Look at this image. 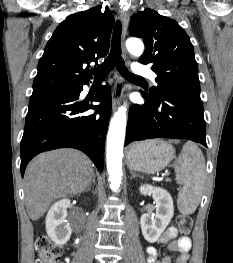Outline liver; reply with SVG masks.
<instances>
[{
  "label": "liver",
  "mask_w": 233,
  "mask_h": 263,
  "mask_svg": "<svg viewBox=\"0 0 233 263\" xmlns=\"http://www.w3.org/2000/svg\"><path fill=\"white\" fill-rule=\"evenodd\" d=\"M91 160L74 149H59L36 156L25 172V205L29 217L38 220L51 203L69 194L82 193L92 182Z\"/></svg>",
  "instance_id": "6515ba94"
}]
</instances>
